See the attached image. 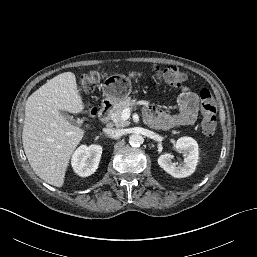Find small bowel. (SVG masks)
<instances>
[{
	"instance_id": "1",
	"label": "small bowel",
	"mask_w": 257,
	"mask_h": 257,
	"mask_svg": "<svg viewBox=\"0 0 257 257\" xmlns=\"http://www.w3.org/2000/svg\"><path fill=\"white\" fill-rule=\"evenodd\" d=\"M178 107V113L168 114L150 106L147 108L148 122L162 129L193 125L198 115V98L196 93L187 86L181 87V92L178 96Z\"/></svg>"
}]
</instances>
